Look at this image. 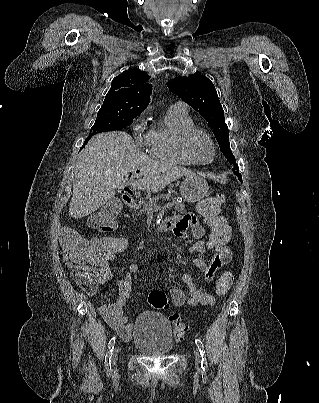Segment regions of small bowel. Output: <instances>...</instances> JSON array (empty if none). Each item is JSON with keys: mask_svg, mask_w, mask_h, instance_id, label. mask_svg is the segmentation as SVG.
Masks as SVG:
<instances>
[{"mask_svg": "<svg viewBox=\"0 0 319 403\" xmlns=\"http://www.w3.org/2000/svg\"><path fill=\"white\" fill-rule=\"evenodd\" d=\"M203 202L199 203L198 210L201 212ZM174 221L173 232L176 237L185 239L190 230L195 242L189 247V252L197 254L194 259L195 266L204 274L205 281L210 282L218 269L225 264L231 262L230 251L228 247H209V241L204 240L205 230L199 224L197 218L192 214H186L182 217L172 218ZM88 241V239H85ZM211 249L215 255L210 262H206L200 255L206 250ZM126 250V249H125ZM113 258H100L91 265L96 271L99 281L105 283L113 280L118 286L119 295L115 302L107 303L100 307V312L107 324L115 330L122 339L129 340L134 329V326L128 321L127 316L123 312V307L132 291V277L137 273L138 266L131 264L127 274L123 278L116 277L110 268V260ZM67 267L73 268L77 266L71 261L66 262ZM190 277L191 281L187 282L186 278ZM184 284L187 286L190 295L185 296V293L178 286L170 287V296L172 303L176 307L183 306L186 302L191 306L203 305L214 306L216 304L215 297L207 292L201 291L193 281L190 274L182 276Z\"/></svg>", "mask_w": 319, "mask_h": 403, "instance_id": "small-bowel-1", "label": "small bowel"}]
</instances>
